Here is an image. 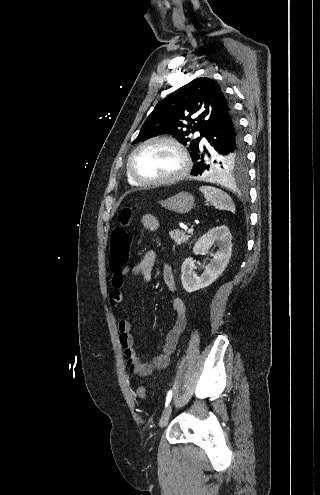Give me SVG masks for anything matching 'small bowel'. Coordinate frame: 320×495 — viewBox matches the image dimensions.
<instances>
[{
    "mask_svg": "<svg viewBox=\"0 0 320 495\" xmlns=\"http://www.w3.org/2000/svg\"><path fill=\"white\" fill-rule=\"evenodd\" d=\"M141 222L144 228L150 232H157L159 229V221L152 214H145L142 217ZM155 258L156 253L153 249H151L147 251L133 267H125L121 271H115L113 273L111 279L112 290L109 294V302L113 308L118 307L123 302V293L121 288L124 285L125 276H139L144 281L149 282L152 278ZM162 275L168 290L170 292H175L176 284L171 266L165 265L163 267ZM172 308L174 313L172 326L165 335L160 353L153 356L149 361H142L137 355L134 347V337L131 333L130 322L125 319L119 321V342L125 352L127 367L132 374L146 377L153 371L164 369L168 366L170 357L174 352L187 323V308L181 298H173Z\"/></svg>",
    "mask_w": 320,
    "mask_h": 495,
    "instance_id": "small-bowel-1",
    "label": "small bowel"
}]
</instances>
